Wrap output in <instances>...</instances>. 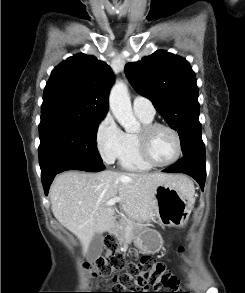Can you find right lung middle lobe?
Here are the masks:
<instances>
[{
  "label": "right lung middle lobe",
  "instance_id": "dd1d6c3e",
  "mask_svg": "<svg viewBox=\"0 0 245 293\" xmlns=\"http://www.w3.org/2000/svg\"><path fill=\"white\" fill-rule=\"evenodd\" d=\"M102 118L52 112L41 115L39 164L42 175L68 159L102 163L96 133Z\"/></svg>",
  "mask_w": 245,
  "mask_h": 293
}]
</instances>
